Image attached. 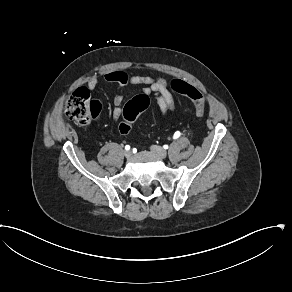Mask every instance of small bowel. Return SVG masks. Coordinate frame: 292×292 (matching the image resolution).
<instances>
[{
	"label": "small bowel",
	"instance_id": "1",
	"mask_svg": "<svg viewBox=\"0 0 292 292\" xmlns=\"http://www.w3.org/2000/svg\"><path fill=\"white\" fill-rule=\"evenodd\" d=\"M103 79L110 83H117L121 90L115 95L113 99V119L117 122L122 113V106L124 102V90L129 85L142 86V92L145 95L154 93L157 96V106L161 118H166L175 110V101L171 91L167 88V80L161 77H153L148 75L127 74L124 71L113 70L107 71L103 74ZM100 81L99 76H92L87 83L90 90H94Z\"/></svg>",
	"mask_w": 292,
	"mask_h": 292
}]
</instances>
